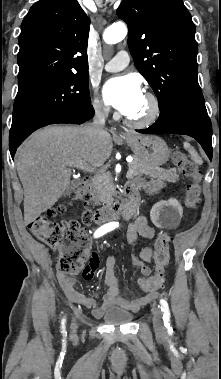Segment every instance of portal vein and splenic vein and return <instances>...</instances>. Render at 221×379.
<instances>
[{
  "instance_id": "portal-vein-and-splenic-vein-1",
  "label": "portal vein and splenic vein",
  "mask_w": 221,
  "mask_h": 379,
  "mask_svg": "<svg viewBox=\"0 0 221 379\" xmlns=\"http://www.w3.org/2000/svg\"><path fill=\"white\" fill-rule=\"evenodd\" d=\"M128 162H131V161H129V160H127ZM77 168H79V169H82V170H84V171H86V172H94L96 169L93 167V166H91V165H89V164H87V163H85V162H78V163H76V164H74ZM128 175H131L132 174V171L131 170H129L128 171V173H127Z\"/></svg>"
}]
</instances>
